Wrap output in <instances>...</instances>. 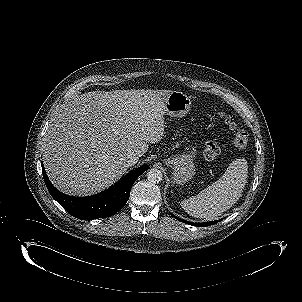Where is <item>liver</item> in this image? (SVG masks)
I'll list each match as a JSON object with an SVG mask.
<instances>
[{"mask_svg":"<svg viewBox=\"0 0 302 302\" xmlns=\"http://www.w3.org/2000/svg\"><path fill=\"white\" fill-rule=\"evenodd\" d=\"M171 90L84 93L63 105L49 125L43 163L53 185L87 196L113 185L127 171L129 152L140 156L164 135Z\"/></svg>","mask_w":302,"mask_h":302,"instance_id":"obj_1","label":"liver"}]
</instances>
